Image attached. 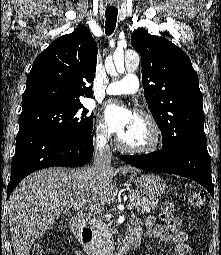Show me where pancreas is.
Here are the masks:
<instances>
[{
  "instance_id": "pancreas-1",
  "label": "pancreas",
  "mask_w": 221,
  "mask_h": 255,
  "mask_svg": "<svg viewBox=\"0 0 221 255\" xmlns=\"http://www.w3.org/2000/svg\"><path fill=\"white\" fill-rule=\"evenodd\" d=\"M130 203L134 204L135 210L138 213L148 214L151 210H155L158 205V201L155 199H149L138 191L130 190L128 192ZM108 216V215H106ZM91 225L96 230L97 242L93 246L88 247L89 251H94L100 248L102 245L107 244L106 236L109 232L108 224L104 222L103 217L94 218L91 221ZM102 243V245H100Z\"/></svg>"
}]
</instances>
